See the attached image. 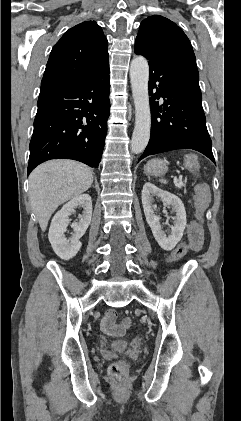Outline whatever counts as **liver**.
Masks as SVG:
<instances>
[{"mask_svg":"<svg viewBox=\"0 0 241 421\" xmlns=\"http://www.w3.org/2000/svg\"><path fill=\"white\" fill-rule=\"evenodd\" d=\"M93 182L90 168L73 160H51L29 176V200L44 232L61 204L87 191Z\"/></svg>","mask_w":241,"mask_h":421,"instance_id":"1","label":"liver"}]
</instances>
